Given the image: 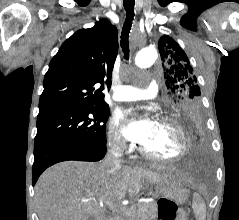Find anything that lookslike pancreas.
<instances>
[{
  "mask_svg": "<svg viewBox=\"0 0 239 220\" xmlns=\"http://www.w3.org/2000/svg\"><path fill=\"white\" fill-rule=\"evenodd\" d=\"M156 215H157V204L155 203L134 205L127 211L126 220H152L156 217Z\"/></svg>",
  "mask_w": 239,
  "mask_h": 220,
  "instance_id": "cf45deb5",
  "label": "pancreas"
}]
</instances>
